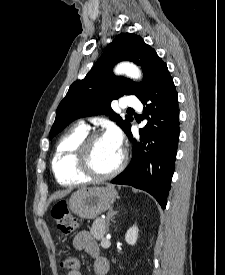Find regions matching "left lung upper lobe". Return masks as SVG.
Returning a JSON list of instances; mask_svg holds the SVG:
<instances>
[{
	"label": "left lung upper lobe",
	"instance_id": "obj_1",
	"mask_svg": "<svg viewBox=\"0 0 225 275\" xmlns=\"http://www.w3.org/2000/svg\"><path fill=\"white\" fill-rule=\"evenodd\" d=\"M129 60L141 66L145 80L135 83L115 76L112 68L120 61ZM167 69L166 63L143 39L133 33H121L110 43L91 71L82 80L75 81L60 102L55 122L49 134L52 139L70 122L85 116L105 114L126 133L132 117L125 120L111 108V101L123 95H136L139 99Z\"/></svg>",
	"mask_w": 225,
	"mask_h": 275
}]
</instances>
